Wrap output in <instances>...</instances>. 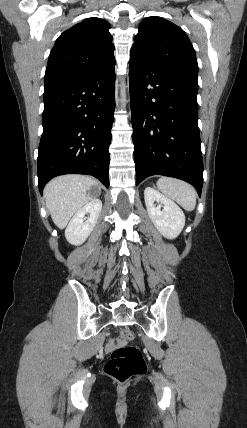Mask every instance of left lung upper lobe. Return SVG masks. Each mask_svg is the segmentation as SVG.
I'll return each mask as SVG.
<instances>
[{"label":"left lung upper lobe","mask_w":247,"mask_h":428,"mask_svg":"<svg viewBox=\"0 0 247 428\" xmlns=\"http://www.w3.org/2000/svg\"><path fill=\"white\" fill-rule=\"evenodd\" d=\"M138 30L131 56L148 60L163 71L198 85L195 50L180 27L151 16L142 20Z\"/></svg>","instance_id":"left-lung-upper-lobe-1"}]
</instances>
